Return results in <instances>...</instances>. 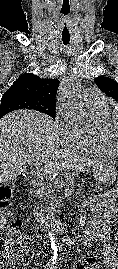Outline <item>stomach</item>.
Masks as SVG:
<instances>
[{
	"label": "stomach",
	"instance_id": "0dacf381",
	"mask_svg": "<svg viewBox=\"0 0 118 269\" xmlns=\"http://www.w3.org/2000/svg\"><path fill=\"white\" fill-rule=\"evenodd\" d=\"M92 170L96 180L103 184H112L118 176L116 167L109 163H100Z\"/></svg>",
	"mask_w": 118,
	"mask_h": 269
}]
</instances>
